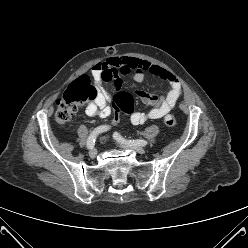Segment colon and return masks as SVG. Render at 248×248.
<instances>
[{
    "label": "colon",
    "instance_id": "obj_1",
    "mask_svg": "<svg viewBox=\"0 0 248 248\" xmlns=\"http://www.w3.org/2000/svg\"><path fill=\"white\" fill-rule=\"evenodd\" d=\"M97 90L91 84L88 75H81L75 79L66 89L63 96L56 102L55 119L59 123L70 121L78 111L81 104L93 102L97 97ZM123 110L126 116L135 114V107L132 105V99L129 95L120 93L117 95L114 104V117L112 119L113 127L121 126L120 111ZM164 124L173 126L175 118L172 115L164 117ZM100 144L105 145L110 142V133L103 131L98 138Z\"/></svg>",
    "mask_w": 248,
    "mask_h": 248
}]
</instances>
